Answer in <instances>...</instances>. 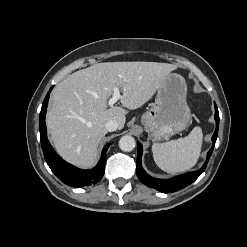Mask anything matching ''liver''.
<instances>
[{"label":"liver","instance_id":"obj_1","mask_svg":"<svg viewBox=\"0 0 247 247\" xmlns=\"http://www.w3.org/2000/svg\"><path fill=\"white\" fill-rule=\"evenodd\" d=\"M175 65L158 62H105L79 70L54 89L46 123L54 147L67 162L92 167L98 145L107 134L105 124L125 125L127 110L108 108L114 87L120 88L123 107L137 109L152 98Z\"/></svg>","mask_w":247,"mask_h":247}]
</instances>
